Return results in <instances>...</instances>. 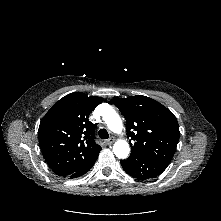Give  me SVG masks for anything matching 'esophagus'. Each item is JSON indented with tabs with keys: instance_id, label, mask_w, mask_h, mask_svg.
<instances>
[{
	"instance_id": "esophagus-1",
	"label": "esophagus",
	"mask_w": 221,
	"mask_h": 221,
	"mask_svg": "<svg viewBox=\"0 0 221 221\" xmlns=\"http://www.w3.org/2000/svg\"><path fill=\"white\" fill-rule=\"evenodd\" d=\"M114 141H115V139L110 138V139L106 140V144H107V145H111V144L114 143Z\"/></svg>"
}]
</instances>
